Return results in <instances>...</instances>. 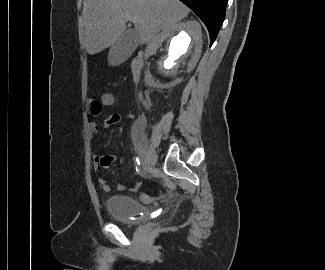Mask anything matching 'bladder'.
<instances>
[{
	"label": "bladder",
	"mask_w": 325,
	"mask_h": 270,
	"mask_svg": "<svg viewBox=\"0 0 325 270\" xmlns=\"http://www.w3.org/2000/svg\"><path fill=\"white\" fill-rule=\"evenodd\" d=\"M109 215L125 224H134L148 216V209L138 200L127 195H113L106 201Z\"/></svg>",
	"instance_id": "1"
}]
</instances>
